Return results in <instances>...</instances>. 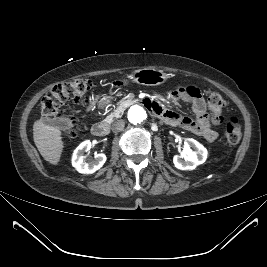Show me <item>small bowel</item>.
<instances>
[{
    "label": "small bowel",
    "mask_w": 267,
    "mask_h": 267,
    "mask_svg": "<svg viewBox=\"0 0 267 267\" xmlns=\"http://www.w3.org/2000/svg\"><path fill=\"white\" fill-rule=\"evenodd\" d=\"M168 97L171 99H180L189 104L192 108L194 118L178 114L160 102L153 101L150 103V108L156 115L166 123L188 130L208 142L217 140L218 132L212 127L211 120L206 113V103L197 87L192 85L177 86L169 91Z\"/></svg>",
    "instance_id": "c3829d8e"
}]
</instances>
